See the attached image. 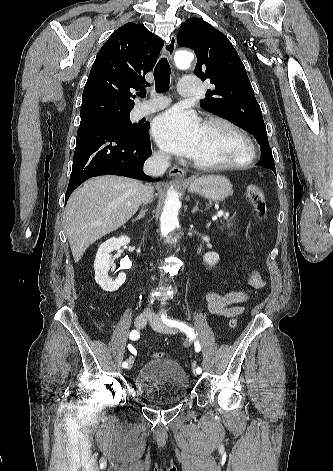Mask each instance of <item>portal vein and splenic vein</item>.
Masks as SVG:
<instances>
[{"mask_svg": "<svg viewBox=\"0 0 333 471\" xmlns=\"http://www.w3.org/2000/svg\"><path fill=\"white\" fill-rule=\"evenodd\" d=\"M224 215V212L221 210L217 213V217H222ZM213 220H215V218H212Z\"/></svg>", "mask_w": 333, "mask_h": 471, "instance_id": "1", "label": "portal vein and splenic vein"}]
</instances>
